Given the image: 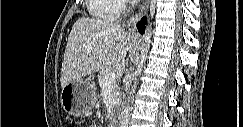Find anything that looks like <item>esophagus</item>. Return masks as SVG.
<instances>
[{"label": "esophagus", "instance_id": "obj_1", "mask_svg": "<svg viewBox=\"0 0 243 127\" xmlns=\"http://www.w3.org/2000/svg\"><path fill=\"white\" fill-rule=\"evenodd\" d=\"M150 0H144L139 7L137 19L140 20L148 11Z\"/></svg>", "mask_w": 243, "mask_h": 127}]
</instances>
